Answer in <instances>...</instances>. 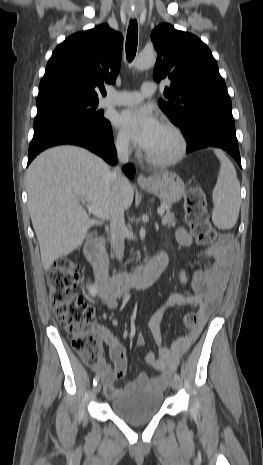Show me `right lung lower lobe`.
<instances>
[{
	"label": "right lung lower lobe",
	"instance_id": "right-lung-lower-lobe-1",
	"mask_svg": "<svg viewBox=\"0 0 263 465\" xmlns=\"http://www.w3.org/2000/svg\"><path fill=\"white\" fill-rule=\"evenodd\" d=\"M72 144L89 149L110 164L116 163L111 125L102 129L73 121H54L34 128L29 146L28 165L41 151L56 145ZM125 174L133 178L135 169L128 164Z\"/></svg>",
	"mask_w": 263,
	"mask_h": 465
}]
</instances>
